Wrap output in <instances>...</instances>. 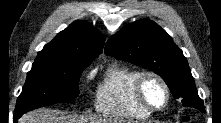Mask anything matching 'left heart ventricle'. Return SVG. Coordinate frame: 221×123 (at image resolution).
<instances>
[{"mask_svg": "<svg viewBox=\"0 0 221 123\" xmlns=\"http://www.w3.org/2000/svg\"><path fill=\"white\" fill-rule=\"evenodd\" d=\"M147 101L155 106H161L165 101V92L162 86L154 79H147L143 87Z\"/></svg>", "mask_w": 221, "mask_h": 123, "instance_id": "1", "label": "left heart ventricle"}]
</instances>
